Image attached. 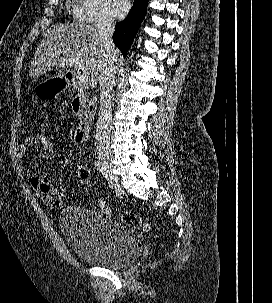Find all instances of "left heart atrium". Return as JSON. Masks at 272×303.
I'll list each match as a JSON object with an SVG mask.
<instances>
[{"label": "left heart atrium", "mask_w": 272, "mask_h": 303, "mask_svg": "<svg viewBox=\"0 0 272 303\" xmlns=\"http://www.w3.org/2000/svg\"><path fill=\"white\" fill-rule=\"evenodd\" d=\"M110 8L114 17L122 18L124 17L129 9V0H110Z\"/></svg>", "instance_id": "39dd6f15"}]
</instances>
